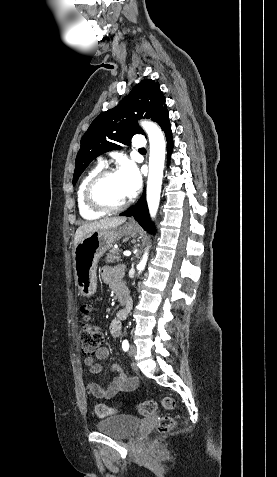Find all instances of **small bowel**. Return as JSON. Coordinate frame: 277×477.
Listing matches in <instances>:
<instances>
[{"label": "small bowel", "mask_w": 277, "mask_h": 477, "mask_svg": "<svg viewBox=\"0 0 277 477\" xmlns=\"http://www.w3.org/2000/svg\"><path fill=\"white\" fill-rule=\"evenodd\" d=\"M124 274V268L121 265L116 266H103L101 268V278L107 283L116 293L125 292L122 284V277ZM125 317V312H120L116 318H114L109 326V331L113 339H116L121 335V320ZM109 356V350L106 347H100L94 355L87 356L84 359V364L89 368L92 374H99L102 372V366L96 360H103ZM114 378L111 381L107 389H103L94 381H88L86 388L88 393L97 399L109 400L117 395L133 391L138 384L136 377L127 376L123 370L118 366L112 367Z\"/></svg>", "instance_id": "obj_1"}]
</instances>
